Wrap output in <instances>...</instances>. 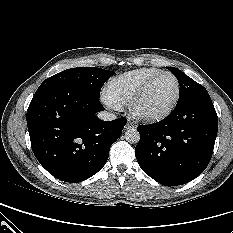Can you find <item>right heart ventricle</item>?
<instances>
[{"mask_svg":"<svg viewBox=\"0 0 233 233\" xmlns=\"http://www.w3.org/2000/svg\"><path fill=\"white\" fill-rule=\"evenodd\" d=\"M159 71V68L143 67L125 72L112 78L106 90L120 105L127 104L143 83Z\"/></svg>","mask_w":233,"mask_h":233,"instance_id":"e07e8e85","label":"right heart ventricle"}]
</instances>
